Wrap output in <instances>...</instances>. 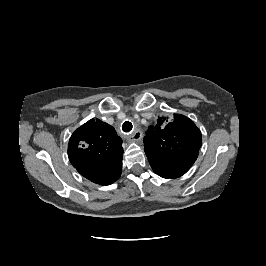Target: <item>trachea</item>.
<instances>
[{"mask_svg":"<svg viewBox=\"0 0 266 266\" xmlns=\"http://www.w3.org/2000/svg\"><path fill=\"white\" fill-rule=\"evenodd\" d=\"M133 126L132 123L129 121H125L122 125V130L124 132H130L132 130Z\"/></svg>","mask_w":266,"mask_h":266,"instance_id":"1","label":"trachea"}]
</instances>
